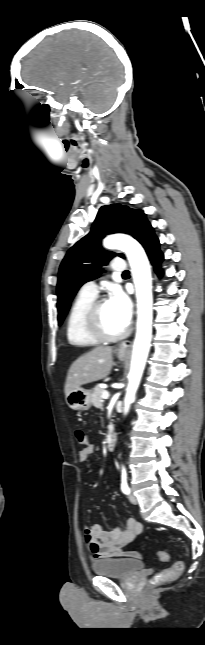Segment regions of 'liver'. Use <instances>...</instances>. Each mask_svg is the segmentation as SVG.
Wrapping results in <instances>:
<instances>
[{"mask_svg": "<svg viewBox=\"0 0 205 645\" xmlns=\"http://www.w3.org/2000/svg\"><path fill=\"white\" fill-rule=\"evenodd\" d=\"M112 352L110 346H98L75 360L67 374L65 396L82 385L107 377L113 365Z\"/></svg>", "mask_w": 205, "mask_h": 645, "instance_id": "obj_1", "label": "liver"}]
</instances>
